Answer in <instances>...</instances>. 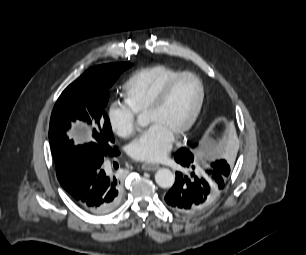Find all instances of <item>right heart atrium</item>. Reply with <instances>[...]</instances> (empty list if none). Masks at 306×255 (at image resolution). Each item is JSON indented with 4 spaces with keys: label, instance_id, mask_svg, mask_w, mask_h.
Masks as SVG:
<instances>
[{
    "label": "right heart atrium",
    "instance_id": "obj_1",
    "mask_svg": "<svg viewBox=\"0 0 306 255\" xmlns=\"http://www.w3.org/2000/svg\"><path fill=\"white\" fill-rule=\"evenodd\" d=\"M107 117L112 131L120 137H129L136 131L137 112L126 102H112L107 109Z\"/></svg>",
    "mask_w": 306,
    "mask_h": 255
}]
</instances>
